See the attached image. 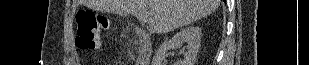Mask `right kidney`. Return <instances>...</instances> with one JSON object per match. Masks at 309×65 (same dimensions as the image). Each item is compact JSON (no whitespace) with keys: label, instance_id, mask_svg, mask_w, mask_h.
I'll return each mask as SVG.
<instances>
[{"label":"right kidney","instance_id":"1","mask_svg":"<svg viewBox=\"0 0 309 65\" xmlns=\"http://www.w3.org/2000/svg\"><path fill=\"white\" fill-rule=\"evenodd\" d=\"M201 31L197 27H186L177 32L173 37L164 41L153 57V65H162L165 53L186 44L184 59L178 60L176 65H194L200 46Z\"/></svg>","mask_w":309,"mask_h":65}]
</instances>
